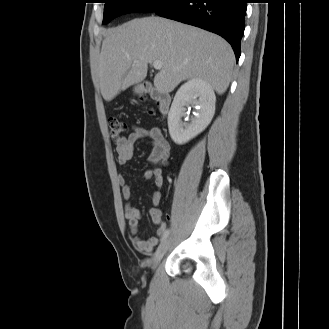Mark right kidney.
<instances>
[{"label": "right kidney", "mask_w": 329, "mask_h": 329, "mask_svg": "<svg viewBox=\"0 0 329 329\" xmlns=\"http://www.w3.org/2000/svg\"><path fill=\"white\" fill-rule=\"evenodd\" d=\"M215 93L207 82L191 79L181 85L175 94L169 114L168 128L172 140L176 144H185L201 133L211 122L215 113ZM197 107L190 123L181 121L185 115V106Z\"/></svg>", "instance_id": "ca27d5eb"}]
</instances>
